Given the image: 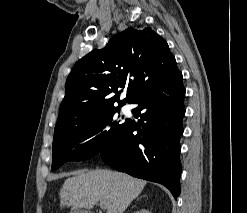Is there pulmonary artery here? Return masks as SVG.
Masks as SVG:
<instances>
[{"mask_svg": "<svg viewBox=\"0 0 247 213\" xmlns=\"http://www.w3.org/2000/svg\"><path fill=\"white\" fill-rule=\"evenodd\" d=\"M122 110L126 112V111L129 110V108H128V106H123V107H122Z\"/></svg>", "mask_w": 247, "mask_h": 213, "instance_id": "1", "label": "pulmonary artery"}]
</instances>
